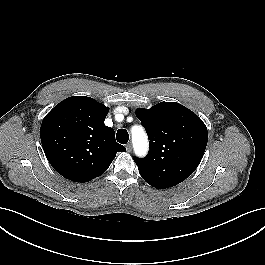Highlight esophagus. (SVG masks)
<instances>
[{"label":"esophagus","mask_w":265,"mask_h":265,"mask_svg":"<svg viewBox=\"0 0 265 265\" xmlns=\"http://www.w3.org/2000/svg\"><path fill=\"white\" fill-rule=\"evenodd\" d=\"M126 150H127V152H131L132 151V144L131 143H128L126 145Z\"/></svg>","instance_id":"esophagus-1"}]
</instances>
